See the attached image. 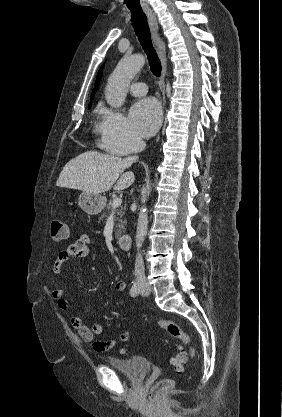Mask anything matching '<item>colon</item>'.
I'll list each match as a JSON object with an SVG mask.
<instances>
[{"label": "colon", "instance_id": "5ec220e1", "mask_svg": "<svg viewBox=\"0 0 282 417\" xmlns=\"http://www.w3.org/2000/svg\"><path fill=\"white\" fill-rule=\"evenodd\" d=\"M50 236L55 241H64L68 239L70 237V229L67 222L63 220L54 219L51 222ZM157 326L159 329L165 331L170 336L183 341L188 348H194L191 345L190 336L185 331H183L176 323L166 319H162L157 322ZM176 353L177 355L173 359L174 366L178 372H183L184 368L186 367L183 363V360H185L186 353L184 352L183 348H179ZM192 355V360H194L197 356L196 350L194 353H192ZM172 384L173 381L171 379H157L156 384L154 385V389H149L148 391L150 403H165V393L170 392V386Z\"/></svg>", "mask_w": 282, "mask_h": 417}]
</instances>
